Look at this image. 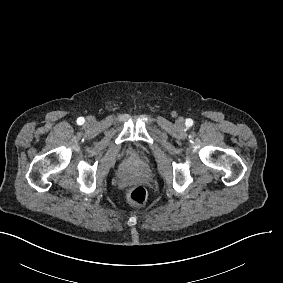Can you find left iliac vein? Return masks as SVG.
Here are the masks:
<instances>
[{
  "mask_svg": "<svg viewBox=\"0 0 283 283\" xmlns=\"http://www.w3.org/2000/svg\"><path fill=\"white\" fill-rule=\"evenodd\" d=\"M183 123H184V120H183L182 118H179V119L177 120V125H178V126L183 125Z\"/></svg>",
  "mask_w": 283,
  "mask_h": 283,
  "instance_id": "1",
  "label": "left iliac vein"
}]
</instances>
